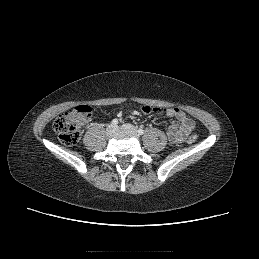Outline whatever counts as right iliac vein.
Returning <instances> with one entry per match:
<instances>
[{"label": "right iliac vein", "mask_w": 259, "mask_h": 259, "mask_svg": "<svg viewBox=\"0 0 259 259\" xmlns=\"http://www.w3.org/2000/svg\"><path fill=\"white\" fill-rule=\"evenodd\" d=\"M118 128L117 126H114V125H109L106 129V134L107 136H112L114 135L116 132H117Z\"/></svg>", "instance_id": "obj_1"}]
</instances>
